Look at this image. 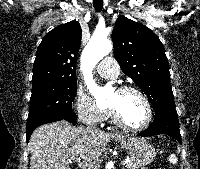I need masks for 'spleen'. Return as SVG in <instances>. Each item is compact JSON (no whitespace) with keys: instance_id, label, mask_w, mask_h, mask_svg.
Masks as SVG:
<instances>
[{"instance_id":"3e777b00","label":"spleen","mask_w":200,"mask_h":169,"mask_svg":"<svg viewBox=\"0 0 200 169\" xmlns=\"http://www.w3.org/2000/svg\"><path fill=\"white\" fill-rule=\"evenodd\" d=\"M169 162L172 164H177V156L175 154L170 155Z\"/></svg>"}]
</instances>
